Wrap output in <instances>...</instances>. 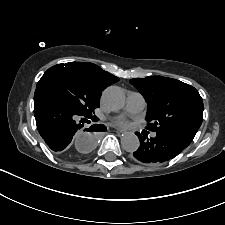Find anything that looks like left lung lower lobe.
<instances>
[{
  "mask_svg": "<svg viewBox=\"0 0 225 225\" xmlns=\"http://www.w3.org/2000/svg\"><path fill=\"white\" fill-rule=\"evenodd\" d=\"M197 131V128L184 127L156 133L150 139L146 133L137 132L140 147L133 153V159L147 165L166 162L181 153L192 142Z\"/></svg>",
  "mask_w": 225,
  "mask_h": 225,
  "instance_id": "left-lung-lower-lobe-1",
  "label": "left lung lower lobe"
}]
</instances>
